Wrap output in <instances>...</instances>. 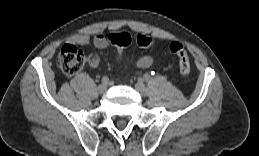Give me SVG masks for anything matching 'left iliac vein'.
Returning <instances> with one entry per match:
<instances>
[{"instance_id":"left-iliac-vein-1","label":"left iliac vein","mask_w":259,"mask_h":156,"mask_svg":"<svg viewBox=\"0 0 259 156\" xmlns=\"http://www.w3.org/2000/svg\"><path fill=\"white\" fill-rule=\"evenodd\" d=\"M135 89L138 91V93L141 96H145L147 93V89H146L145 85L140 81L135 84Z\"/></svg>"}]
</instances>
